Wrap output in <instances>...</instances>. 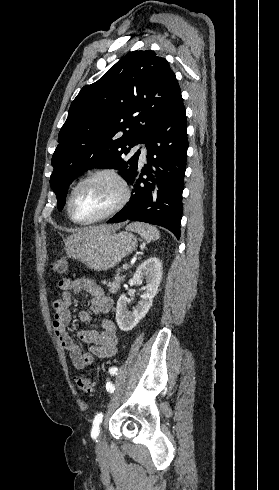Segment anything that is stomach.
I'll list each match as a JSON object with an SVG mask.
<instances>
[{
	"label": "stomach",
	"instance_id": "stomach-1",
	"mask_svg": "<svg viewBox=\"0 0 279 490\" xmlns=\"http://www.w3.org/2000/svg\"><path fill=\"white\" fill-rule=\"evenodd\" d=\"M137 238L129 232H110L90 240H75L70 236L65 240V252L68 258L85 264L94 272H107L120 264L125 256L135 252Z\"/></svg>",
	"mask_w": 279,
	"mask_h": 490
}]
</instances>
